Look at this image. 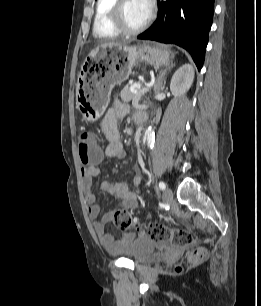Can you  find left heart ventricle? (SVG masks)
<instances>
[{"instance_id": "obj_1", "label": "left heart ventricle", "mask_w": 261, "mask_h": 306, "mask_svg": "<svg viewBox=\"0 0 261 306\" xmlns=\"http://www.w3.org/2000/svg\"><path fill=\"white\" fill-rule=\"evenodd\" d=\"M124 16L130 27H138L148 15L138 0H127L124 5Z\"/></svg>"}]
</instances>
